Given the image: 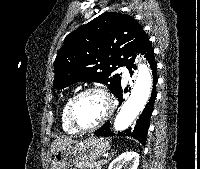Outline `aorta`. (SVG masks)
Wrapping results in <instances>:
<instances>
[{"instance_id":"1","label":"aorta","mask_w":200,"mask_h":169,"mask_svg":"<svg viewBox=\"0 0 200 169\" xmlns=\"http://www.w3.org/2000/svg\"><path fill=\"white\" fill-rule=\"evenodd\" d=\"M152 89V75L149 66L140 63L135 84L129 98L122 105L114 120V130L124 131L132 124L133 120L144 109Z\"/></svg>"}]
</instances>
